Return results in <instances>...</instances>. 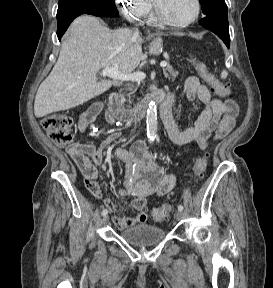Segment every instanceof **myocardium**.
<instances>
[{
	"label": "myocardium",
	"instance_id": "1",
	"mask_svg": "<svg viewBox=\"0 0 273 288\" xmlns=\"http://www.w3.org/2000/svg\"><path fill=\"white\" fill-rule=\"evenodd\" d=\"M194 1H195L196 9H195L193 16L191 18H189L188 20L182 21V22H177V21H173V20L166 18L153 1L152 7H153L154 18L159 23L166 25V26H169V27H175V28L187 27L190 24H192L193 22H195L201 13V1L200 0H194Z\"/></svg>",
	"mask_w": 273,
	"mask_h": 288
}]
</instances>
